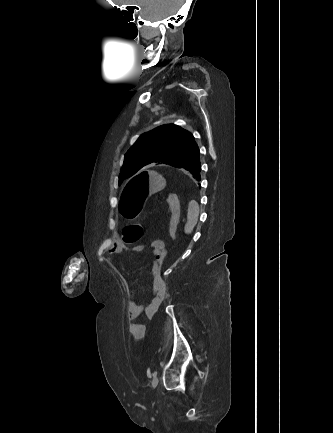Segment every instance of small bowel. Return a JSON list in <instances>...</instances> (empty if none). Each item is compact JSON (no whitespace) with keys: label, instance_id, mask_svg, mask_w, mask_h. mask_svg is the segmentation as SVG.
<instances>
[{"label":"small bowel","instance_id":"1","mask_svg":"<svg viewBox=\"0 0 333 433\" xmlns=\"http://www.w3.org/2000/svg\"><path fill=\"white\" fill-rule=\"evenodd\" d=\"M124 247L120 244L114 243L108 250V257L113 258ZM151 249L153 255V266L152 271L154 274V280L152 285L151 296L145 305L140 303V300L136 292H131V297L127 303V318L129 323V332L135 339H141L145 334V324L137 322L136 320L140 316H145L147 319L153 318L158 312L165 296L167 293V284L164 278L161 276V267L167 254L166 245L163 240L155 239L151 242ZM134 252H140L143 250L141 245H137L131 248Z\"/></svg>","mask_w":333,"mask_h":433}]
</instances>
